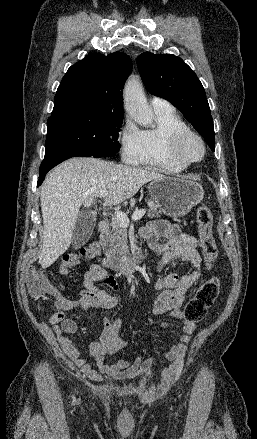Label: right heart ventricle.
Listing matches in <instances>:
<instances>
[{
  "label": "right heart ventricle",
  "mask_w": 257,
  "mask_h": 439,
  "mask_svg": "<svg viewBox=\"0 0 257 439\" xmlns=\"http://www.w3.org/2000/svg\"><path fill=\"white\" fill-rule=\"evenodd\" d=\"M155 114V126L141 131V148L133 164L156 168L169 174L180 173L185 166L170 155L169 140L174 133L188 129L187 124L173 109L155 111Z\"/></svg>",
  "instance_id": "obj_1"
}]
</instances>
